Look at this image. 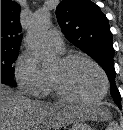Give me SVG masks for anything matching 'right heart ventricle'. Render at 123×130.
<instances>
[{
    "mask_svg": "<svg viewBox=\"0 0 123 130\" xmlns=\"http://www.w3.org/2000/svg\"><path fill=\"white\" fill-rule=\"evenodd\" d=\"M52 88H53V87H52V83H51V80H50V78H49V90L52 89ZM49 90H48V91H49Z\"/></svg>",
    "mask_w": 123,
    "mask_h": 130,
    "instance_id": "1",
    "label": "right heart ventricle"
}]
</instances>
